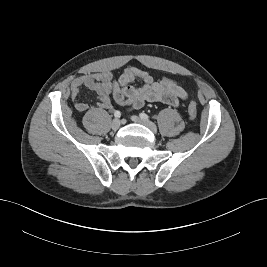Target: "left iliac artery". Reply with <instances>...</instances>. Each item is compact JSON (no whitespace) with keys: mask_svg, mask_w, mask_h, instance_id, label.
I'll return each mask as SVG.
<instances>
[{"mask_svg":"<svg viewBox=\"0 0 267 267\" xmlns=\"http://www.w3.org/2000/svg\"><path fill=\"white\" fill-rule=\"evenodd\" d=\"M140 117H141V119L149 120V116L145 113H140Z\"/></svg>","mask_w":267,"mask_h":267,"instance_id":"obj_1","label":"left iliac artery"}]
</instances>
